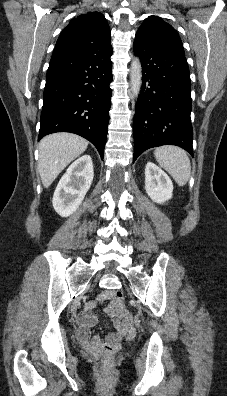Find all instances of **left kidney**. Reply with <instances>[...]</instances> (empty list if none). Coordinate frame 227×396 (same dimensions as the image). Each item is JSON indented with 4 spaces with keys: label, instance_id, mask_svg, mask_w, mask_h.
<instances>
[{
    "label": "left kidney",
    "instance_id": "1",
    "mask_svg": "<svg viewBox=\"0 0 227 396\" xmlns=\"http://www.w3.org/2000/svg\"><path fill=\"white\" fill-rule=\"evenodd\" d=\"M145 190L148 196L158 204H163L172 198L171 179L152 162H148L145 167Z\"/></svg>",
    "mask_w": 227,
    "mask_h": 396
}]
</instances>
